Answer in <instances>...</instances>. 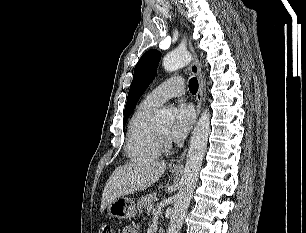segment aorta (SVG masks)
<instances>
[{"label": "aorta", "instance_id": "762f6f07", "mask_svg": "<svg viewBox=\"0 0 306 233\" xmlns=\"http://www.w3.org/2000/svg\"><path fill=\"white\" fill-rule=\"evenodd\" d=\"M191 59L192 56L187 50H175L164 57L163 67L167 72H173L189 64ZM169 119L170 114L165 110L159 111L156 115L158 123H165ZM209 133L210 114L208 109H205L192 133L185 168L180 181V189L174 198L173 212L167 233L180 232L198 180Z\"/></svg>", "mask_w": 306, "mask_h": 233}]
</instances>
